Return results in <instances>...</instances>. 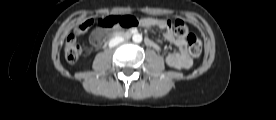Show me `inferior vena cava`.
I'll list each match as a JSON object with an SVG mask.
<instances>
[{"label": "inferior vena cava", "mask_w": 276, "mask_h": 120, "mask_svg": "<svg viewBox=\"0 0 276 120\" xmlns=\"http://www.w3.org/2000/svg\"><path fill=\"white\" fill-rule=\"evenodd\" d=\"M122 41H124V39L122 37H116L114 39H112L110 42H109V46L110 47H114L116 46L117 44L121 43Z\"/></svg>", "instance_id": "602c4592"}]
</instances>
